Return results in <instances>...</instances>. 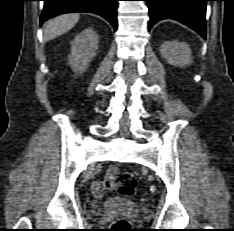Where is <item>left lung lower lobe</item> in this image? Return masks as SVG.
I'll use <instances>...</instances> for the list:
<instances>
[{"label": "left lung lower lobe", "mask_w": 234, "mask_h": 231, "mask_svg": "<svg viewBox=\"0 0 234 231\" xmlns=\"http://www.w3.org/2000/svg\"><path fill=\"white\" fill-rule=\"evenodd\" d=\"M148 3L149 30L162 19H174L206 38V2L210 0H145Z\"/></svg>", "instance_id": "obj_1"}]
</instances>
